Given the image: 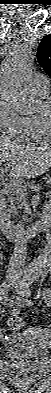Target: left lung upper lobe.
I'll list each match as a JSON object with an SVG mask.
<instances>
[{
	"label": "left lung upper lobe",
	"mask_w": 51,
	"mask_h": 393,
	"mask_svg": "<svg viewBox=\"0 0 51 393\" xmlns=\"http://www.w3.org/2000/svg\"><path fill=\"white\" fill-rule=\"evenodd\" d=\"M37 57L41 67L51 77V34L44 36L41 40Z\"/></svg>",
	"instance_id": "5c2ea615"
}]
</instances>
